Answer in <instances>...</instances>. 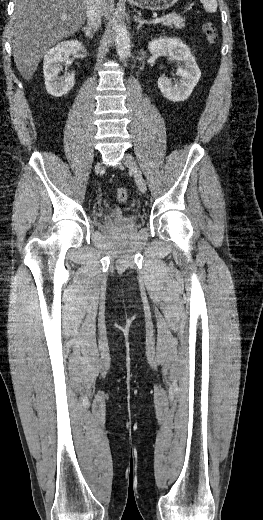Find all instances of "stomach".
<instances>
[{
	"instance_id": "1",
	"label": "stomach",
	"mask_w": 263,
	"mask_h": 520,
	"mask_svg": "<svg viewBox=\"0 0 263 520\" xmlns=\"http://www.w3.org/2000/svg\"><path fill=\"white\" fill-rule=\"evenodd\" d=\"M128 2L140 8L160 11L172 7L178 0H128Z\"/></svg>"
}]
</instances>
